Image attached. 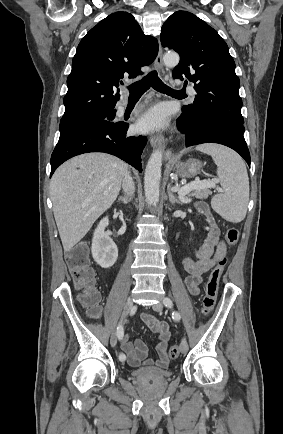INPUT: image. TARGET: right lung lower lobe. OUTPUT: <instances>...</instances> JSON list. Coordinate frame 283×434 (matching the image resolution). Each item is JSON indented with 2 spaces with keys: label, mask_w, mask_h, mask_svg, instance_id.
<instances>
[{
  "label": "right lung lower lobe",
  "mask_w": 283,
  "mask_h": 434,
  "mask_svg": "<svg viewBox=\"0 0 283 434\" xmlns=\"http://www.w3.org/2000/svg\"><path fill=\"white\" fill-rule=\"evenodd\" d=\"M111 119L88 121L60 133L59 141L51 156V175L66 160L83 153L104 152L115 155L142 171L141 154L147 143L145 136L126 135L128 124Z\"/></svg>",
  "instance_id": "right-lung-lower-lobe-1"
}]
</instances>
